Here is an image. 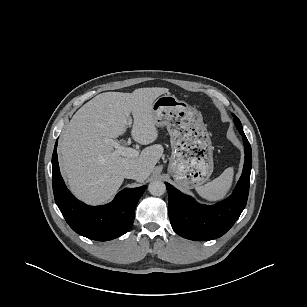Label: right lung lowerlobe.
<instances>
[{
	"mask_svg": "<svg viewBox=\"0 0 307 307\" xmlns=\"http://www.w3.org/2000/svg\"><path fill=\"white\" fill-rule=\"evenodd\" d=\"M57 142L52 155V182L55 202L69 226L78 234L98 241H108L125 234L132 226L135 207L146 185L126 188L104 206H88L77 200L61 177Z\"/></svg>",
	"mask_w": 307,
	"mask_h": 307,
	"instance_id": "1",
	"label": "right lung lower lobe"
}]
</instances>
